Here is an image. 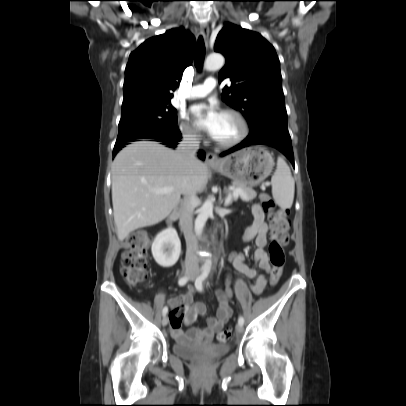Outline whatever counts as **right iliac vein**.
I'll list each match as a JSON object with an SVG mask.
<instances>
[{
    "label": "right iliac vein",
    "mask_w": 406,
    "mask_h": 406,
    "mask_svg": "<svg viewBox=\"0 0 406 406\" xmlns=\"http://www.w3.org/2000/svg\"><path fill=\"white\" fill-rule=\"evenodd\" d=\"M185 274H186L187 276L191 275V274H192V269H191V268L186 269ZM167 324H168V317H167V316H164L163 319H162V325H163V326H166Z\"/></svg>",
    "instance_id": "1"
}]
</instances>
